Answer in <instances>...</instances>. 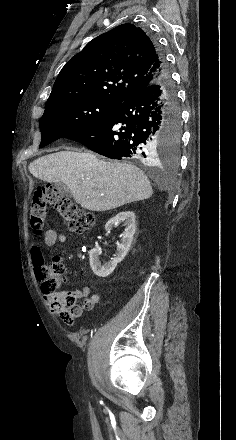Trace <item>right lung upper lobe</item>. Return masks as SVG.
I'll return each mask as SVG.
<instances>
[{
    "label": "right lung upper lobe",
    "instance_id": "obj_1",
    "mask_svg": "<svg viewBox=\"0 0 236 440\" xmlns=\"http://www.w3.org/2000/svg\"><path fill=\"white\" fill-rule=\"evenodd\" d=\"M158 51L133 24L94 38L60 71L47 102L95 98L122 103L161 75Z\"/></svg>",
    "mask_w": 236,
    "mask_h": 440
}]
</instances>
